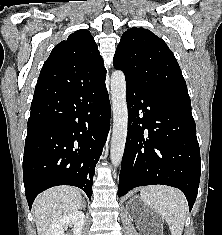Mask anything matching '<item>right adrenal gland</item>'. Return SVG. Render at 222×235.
I'll list each match as a JSON object with an SVG mask.
<instances>
[{
  "mask_svg": "<svg viewBox=\"0 0 222 235\" xmlns=\"http://www.w3.org/2000/svg\"><path fill=\"white\" fill-rule=\"evenodd\" d=\"M85 207H86V204H85V201H83V203H82L83 210H85Z\"/></svg>",
  "mask_w": 222,
  "mask_h": 235,
  "instance_id": "1",
  "label": "right adrenal gland"
}]
</instances>
